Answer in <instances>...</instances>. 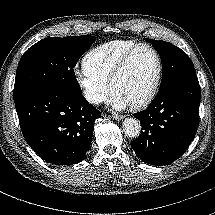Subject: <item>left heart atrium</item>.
Masks as SVG:
<instances>
[{
	"label": "left heart atrium",
	"mask_w": 215,
	"mask_h": 215,
	"mask_svg": "<svg viewBox=\"0 0 215 215\" xmlns=\"http://www.w3.org/2000/svg\"><path fill=\"white\" fill-rule=\"evenodd\" d=\"M110 104L116 109H124L129 105V103L122 96L116 93H112L110 95Z\"/></svg>",
	"instance_id": "39dd6f15"
}]
</instances>
